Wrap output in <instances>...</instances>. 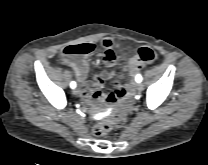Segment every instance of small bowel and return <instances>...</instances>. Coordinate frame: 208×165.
<instances>
[{
  "label": "small bowel",
  "mask_w": 208,
  "mask_h": 165,
  "mask_svg": "<svg viewBox=\"0 0 208 165\" xmlns=\"http://www.w3.org/2000/svg\"><path fill=\"white\" fill-rule=\"evenodd\" d=\"M84 44L89 45L91 47V53L94 52V44ZM99 44L105 50L103 53L99 54V56L102 58L103 62L107 66H112L116 61V56L114 53V49L117 46L116 43L111 38L104 37L100 40ZM91 53L73 58L64 57L62 62L65 66H68L73 69L76 78L81 83V88L79 89V92L83 95L84 98H94L97 101H106L107 103L112 104L119 102L121 98L120 90L122 88L121 81H112L111 87L109 88V91L106 96H104L100 91L104 81L114 77L115 74L113 71L98 74L94 76L92 80L86 81L88 71V57ZM137 73L138 72H136L135 75Z\"/></svg>",
  "instance_id": "small-bowel-1"
}]
</instances>
